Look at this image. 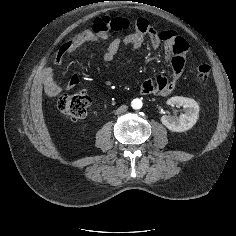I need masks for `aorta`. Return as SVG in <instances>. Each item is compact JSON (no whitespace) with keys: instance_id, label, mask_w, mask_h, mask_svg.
<instances>
[{"instance_id":"aorta-1","label":"aorta","mask_w":236,"mask_h":236,"mask_svg":"<svg viewBox=\"0 0 236 236\" xmlns=\"http://www.w3.org/2000/svg\"><path fill=\"white\" fill-rule=\"evenodd\" d=\"M142 105H143V103L139 98L133 99L131 102V107L133 109H141Z\"/></svg>"}]
</instances>
